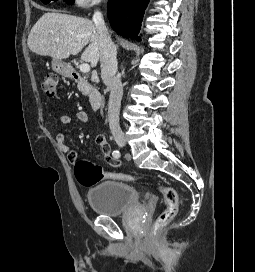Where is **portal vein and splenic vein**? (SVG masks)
Here are the masks:
<instances>
[{
    "label": "portal vein and splenic vein",
    "mask_w": 255,
    "mask_h": 272,
    "mask_svg": "<svg viewBox=\"0 0 255 272\" xmlns=\"http://www.w3.org/2000/svg\"><path fill=\"white\" fill-rule=\"evenodd\" d=\"M72 45L74 46L75 44H72ZM79 68H80V71L83 73H88L90 71V66L88 63H82Z\"/></svg>",
    "instance_id": "18ae733b"
}]
</instances>
